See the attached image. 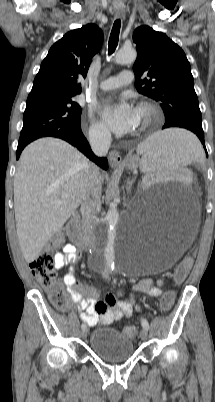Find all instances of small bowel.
<instances>
[{"label": "small bowel", "mask_w": 215, "mask_h": 402, "mask_svg": "<svg viewBox=\"0 0 215 402\" xmlns=\"http://www.w3.org/2000/svg\"><path fill=\"white\" fill-rule=\"evenodd\" d=\"M80 257L76 247L66 244L62 251L55 255L57 268L69 266L68 272L63 277L66 292L70 300L79 311L80 319L88 326L109 325L123 317L129 318L139 306L134 298L121 300L111 294H107L103 300H98L97 290L87 284L78 282L75 277V265ZM134 290L149 298H156L162 294L160 286H155L150 279L139 281Z\"/></svg>", "instance_id": "1"}]
</instances>
